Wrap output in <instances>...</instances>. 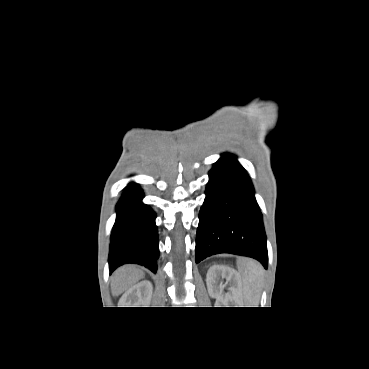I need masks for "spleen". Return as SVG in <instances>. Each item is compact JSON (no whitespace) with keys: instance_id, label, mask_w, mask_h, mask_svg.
Listing matches in <instances>:
<instances>
[{"instance_id":"obj_1","label":"spleen","mask_w":369,"mask_h":369,"mask_svg":"<svg viewBox=\"0 0 369 369\" xmlns=\"http://www.w3.org/2000/svg\"><path fill=\"white\" fill-rule=\"evenodd\" d=\"M238 270L241 276L242 298L247 307H258L261 290L263 269L261 265L249 259H239L237 261Z\"/></svg>"}]
</instances>
